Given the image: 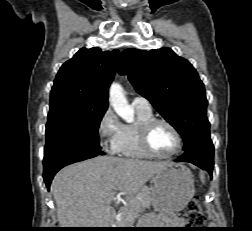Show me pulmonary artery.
<instances>
[{"label": "pulmonary artery", "instance_id": "1", "mask_svg": "<svg viewBox=\"0 0 252 231\" xmlns=\"http://www.w3.org/2000/svg\"><path fill=\"white\" fill-rule=\"evenodd\" d=\"M132 105L137 108L151 110L150 102L146 98L141 96L134 97L132 100Z\"/></svg>", "mask_w": 252, "mask_h": 231}]
</instances>
